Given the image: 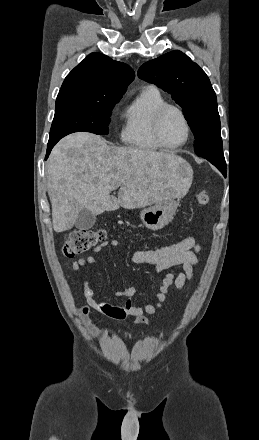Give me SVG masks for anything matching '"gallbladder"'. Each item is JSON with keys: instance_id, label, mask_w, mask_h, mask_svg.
Wrapping results in <instances>:
<instances>
[{"instance_id": "bac80fb5", "label": "gallbladder", "mask_w": 259, "mask_h": 440, "mask_svg": "<svg viewBox=\"0 0 259 440\" xmlns=\"http://www.w3.org/2000/svg\"><path fill=\"white\" fill-rule=\"evenodd\" d=\"M96 221V215L86 208H83L76 219L75 227L79 230H88L93 227Z\"/></svg>"}]
</instances>
